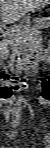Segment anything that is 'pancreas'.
Segmentation results:
<instances>
[{"label":"pancreas","mask_w":50,"mask_h":148,"mask_svg":"<svg viewBox=\"0 0 50 148\" xmlns=\"http://www.w3.org/2000/svg\"><path fill=\"white\" fill-rule=\"evenodd\" d=\"M5 35L8 37L7 44L10 45L14 52L22 47L30 48L35 41L40 39V32L38 30L32 29L27 31L25 25L14 26L8 29Z\"/></svg>","instance_id":"pancreas-1"}]
</instances>
